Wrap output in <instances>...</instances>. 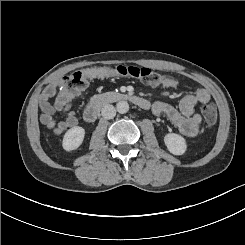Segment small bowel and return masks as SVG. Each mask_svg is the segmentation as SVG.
Returning a JSON list of instances; mask_svg holds the SVG:
<instances>
[{
  "label": "small bowel",
  "instance_id": "1",
  "mask_svg": "<svg viewBox=\"0 0 245 245\" xmlns=\"http://www.w3.org/2000/svg\"><path fill=\"white\" fill-rule=\"evenodd\" d=\"M177 82L169 79L164 88H175ZM60 89V91H58ZM76 92L62 88L61 81L49 85L43 91L40 99L42 114L41 123L54 134H61L69 128L77 125L78 120L75 112L72 110V103L76 97ZM55 97L54 104L50 100ZM210 94L204 89H198L194 94L186 95L180 102L179 110L164 102H155L152 105V111L155 115H165L186 137H195L198 135L201 124V117L195 112V106L198 103L205 104L209 102ZM55 111H60L65 115V119L59 120L54 116Z\"/></svg>",
  "mask_w": 245,
  "mask_h": 245
}]
</instances>
